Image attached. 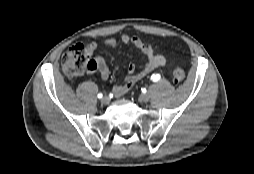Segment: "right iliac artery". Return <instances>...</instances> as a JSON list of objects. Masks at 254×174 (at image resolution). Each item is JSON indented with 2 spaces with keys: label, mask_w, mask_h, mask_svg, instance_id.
<instances>
[{
  "label": "right iliac artery",
  "mask_w": 254,
  "mask_h": 174,
  "mask_svg": "<svg viewBox=\"0 0 254 174\" xmlns=\"http://www.w3.org/2000/svg\"><path fill=\"white\" fill-rule=\"evenodd\" d=\"M102 96H103L102 93H99V94L97 95L98 98H102Z\"/></svg>",
  "instance_id": "1"
}]
</instances>
